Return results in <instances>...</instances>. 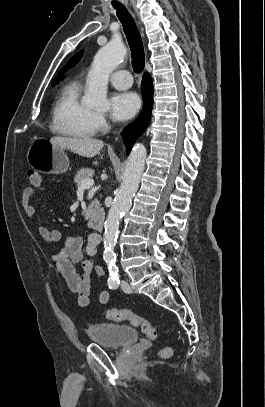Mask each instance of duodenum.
I'll return each instance as SVG.
<instances>
[{
	"label": "duodenum",
	"mask_w": 265,
	"mask_h": 407,
	"mask_svg": "<svg viewBox=\"0 0 265 407\" xmlns=\"http://www.w3.org/2000/svg\"><path fill=\"white\" fill-rule=\"evenodd\" d=\"M89 226L97 231H102L104 227V213L98 210L90 215Z\"/></svg>",
	"instance_id": "410a0bca"
}]
</instances>
